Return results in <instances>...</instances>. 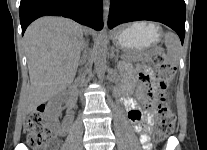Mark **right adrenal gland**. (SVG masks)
Returning a JSON list of instances; mask_svg holds the SVG:
<instances>
[{"mask_svg":"<svg viewBox=\"0 0 207 150\" xmlns=\"http://www.w3.org/2000/svg\"><path fill=\"white\" fill-rule=\"evenodd\" d=\"M85 54H86V46H84L83 57H82L80 63H83L85 61Z\"/></svg>","mask_w":207,"mask_h":150,"instance_id":"1","label":"right adrenal gland"}]
</instances>
